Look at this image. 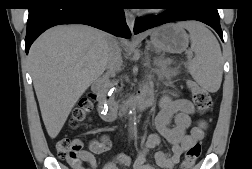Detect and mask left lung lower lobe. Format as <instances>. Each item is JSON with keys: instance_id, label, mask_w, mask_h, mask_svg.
<instances>
[{"instance_id": "0a47b994", "label": "left lung lower lobe", "mask_w": 252, "mask_h": 169, "mask_svg": "<svg viewBox=\"0 0 252 169\" xmlns=\"http://www.w3.org/2000/svg\"><path fill=\"white\" fill-rule=\"evenodd\" d=\"M168 6V10L158 16L137 18L135 34L169 22L196 20L211 26L223 40L215 0H171Z\"/></svg>"}]
</instances>
